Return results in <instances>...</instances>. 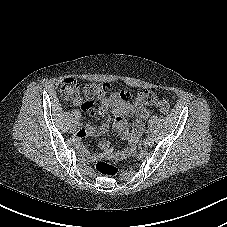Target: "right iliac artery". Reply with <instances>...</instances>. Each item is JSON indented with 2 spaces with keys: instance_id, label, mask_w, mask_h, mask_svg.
<instances>
[{
  "instance_id": "1",
  "label": "right iliac artery",
  "mask_w": 227,
  "mask_h": 227,
  "mask_svg": "<svg viewBox=\"0 0 227 227\" xmlns=\"http://www.w3.org/2000/svg\"><path fill=\"white\" fill-rule=\"evenodd\" d=\"M73 124H74V126H76V127L79 126V124H80V123H79V119H78V118H74V119H73Z\"/></svg>"
}]
</instances>
